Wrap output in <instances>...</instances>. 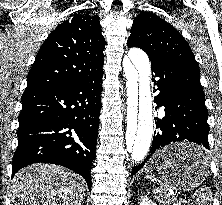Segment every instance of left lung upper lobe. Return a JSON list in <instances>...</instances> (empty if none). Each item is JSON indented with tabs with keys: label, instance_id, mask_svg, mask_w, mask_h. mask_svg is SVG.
Listing matches in <instances>:
<instances>
[{
	"label": "left lung upper lobe",
	"instance_id": "5c2ea615",
	"mask_svg": "<svg viewBox=\"0 0 222 205\" xmlns=\"http://www.w3.org/2000/svg\"><path fill=\"white\" fill-rule=\"evenodd\" d=\"M128 47L143 49L150 59L178 61L199 71L189 44L168 22L150 12H141L133 21Z\"/></svg>",
	"mask_w": 222,
	"mask_h": 205
}]
</instances>
